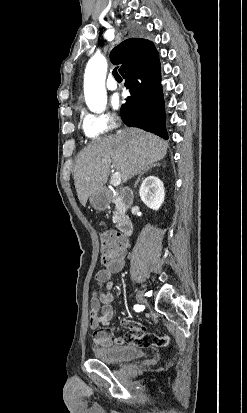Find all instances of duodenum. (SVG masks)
I'll use <instances>...</instances> for the list:
<instances>
[{"label": "duodenum", "instance_id": "1", "mask_svg": "<svg viewBox=\"0 0 247 413\" xmlns=\"http://www.w3.org/2000/svg\"><path fill=\"white\" fill-rule=\"evenodd\" d=\"M114 195L118 199L117 206L120 212L128 209L133 203V193L131 189L127 187L119 188L114 192ZM118 228L123 235L130 236L133 233V223L127 217H119Z\"/></svg>", "mask_w": 247, "mask_h": 413}]
</instances>
